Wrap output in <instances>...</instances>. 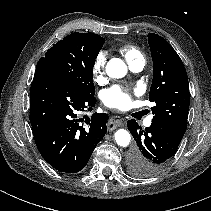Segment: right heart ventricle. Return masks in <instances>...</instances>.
<instances>
[{"mask_svg":"<svg viewBox=\"0 0 211 211\" xmlns=\"http://www.w3.org/2000/svg\"><path fill=\"white\" fill-rule=\"evenodd\" d=\"M119 52L124 56L129 65L144 60L141 51L133 45H123L119 48Z\"/></svg>","mask_w":211,"mask_h":211,"instance_id":"right-heart-ventricle-1","label":"right heart ventricle"}]
</instances>
